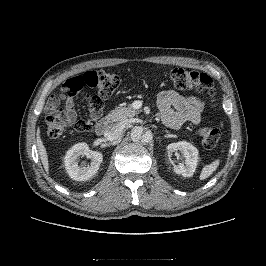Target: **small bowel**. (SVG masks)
<instances>
[{"label":"small bowel","instance_id":"1","mask_svg":"<svg viewBox=\"0 0 266 266\" xmlns=\"http://www.w3.org/2000/svg\"><path fill=\"white\" fill-rule=\"evenodd\" d=\"M157 103L162 122L170 128H179L185 122L197 125L201 121L204 103L195 96L180 95L173 90H167L158 95ZM58 115L67 125L76 120L74 92H68L64 96L63 108Z\"/></svg>","mask_w":266,"mask_h":266}]
</instances>
